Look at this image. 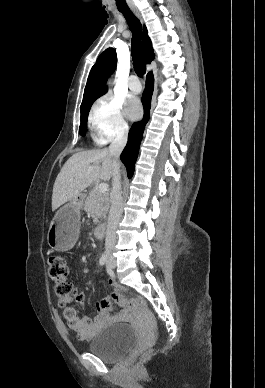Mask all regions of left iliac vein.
<instances>
[{"instance_id": "obj_1", "label": "left iliac vein", "mask_w": 265, "mask_h": 388, "mask_svg": "<svg viewBox=\"0 0 265 388\" xmlns=\"http://www.w3.org/2000/svg\"><path fill=\"white\" fill-rule=\"evenodd\" d=\"M108 267H114V266H112V264L109 262Z\"/></svg>"}]
</instances>
